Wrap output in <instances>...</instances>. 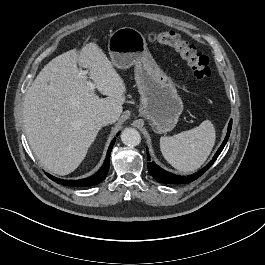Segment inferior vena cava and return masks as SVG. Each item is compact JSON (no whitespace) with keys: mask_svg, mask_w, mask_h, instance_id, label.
Returning a JSON list of instances; mask_svg holds the SVG:
<instances>
[{"mask_svg":"<svg viewBox=\"0 0 265 265\" xmlns=\"http://www.w3.org/2000/svg\"><path fill=\"white\" fill-rule=\"evenodd\" d=\"M115 121V118L114 116H112L111 114L109 113H101L99 115H97L96 117V122L97 124L101 125V126H106L108 124H111Z\"/></svg>","mask_w":265,"mask_h":265,"instance_id":"obj_1","label":"inferior vena cava"}]
</instances>
